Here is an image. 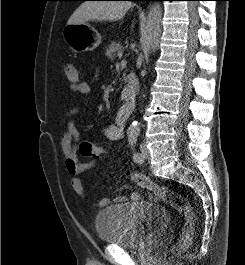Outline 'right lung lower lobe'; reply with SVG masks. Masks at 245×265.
I'll list each match as a JSON object with an SVG mask.
<instances>
[{"label":"right lung lower lobe","instance_id":"obj_1","mask_svg":"<svg viewBox=\"0 0 245 265\" xmlns=\"http://www.w3.org/2000/svg\"><path fill=\"white\" fill-rule=\"evenodd\" d=\"M85 1V0H83ZM128 1H156V0H128Z\"/></svg>","mask_w":245,"mask_h":265}]
</instances>
